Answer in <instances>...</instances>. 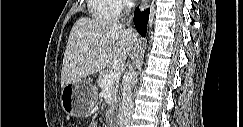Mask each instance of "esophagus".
Wrapping results in <instances>:
<instances>
[{"label":"esophagus","mask_w":243,"mask_h":127,"mask_svg":"<svg viewBox=\"0 0 243 127\" xmlns=\"http://www.w3.org/2000/svg\"><path fill=\"white\" fill-rule=\"evenodd\" d=\"M148 4H149V0H143L141 6L143 9H145L148 6Z\"/></svg>","instance_id":"34e87169"}]
</instances>
